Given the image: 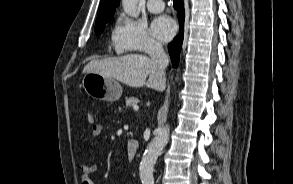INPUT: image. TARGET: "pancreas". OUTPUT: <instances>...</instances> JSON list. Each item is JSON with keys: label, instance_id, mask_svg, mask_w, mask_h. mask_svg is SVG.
Wrapping results in <instances>:
<instances>
[{"label": "pancreas", "instance_id": "obj_1", "mask_svg": "<svg viewBox=\"0 0 293 184\" xmlns=\"http://www.w3.org/2000/svg\"><path fill=\"white\" fill-rule=\"evenodd\" d=\"M139 103V99L135 97L126 98V106L127 107H134Z\"/></svg>", "mask_w": 293, "mask_h": 184}]
</instances>
